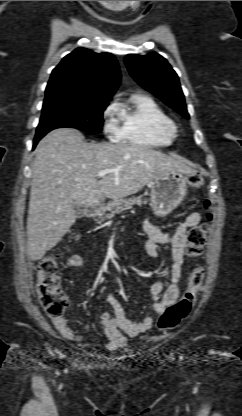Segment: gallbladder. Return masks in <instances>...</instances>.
Returning a JSON list of instances; mask_svg holds the SVG:
<instances>
[{"label": "gallbladder", "mask_w": 242, "mask_h": 416, "mask_svg": "<svg viewBox=\"0 0 242 416\" xmlns=\"http://www.w3.org/2000/svg\"><path fill=\"white\" fill-rule=\"evenodd\" d=\"M74 210L76 213V217L81 218L84 216L85 214V207L78 204V203H74Z\"/></svg>", "instance_id": "obj_1"}]
</instances>
